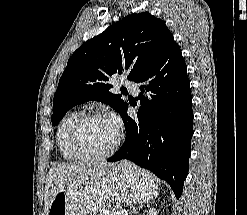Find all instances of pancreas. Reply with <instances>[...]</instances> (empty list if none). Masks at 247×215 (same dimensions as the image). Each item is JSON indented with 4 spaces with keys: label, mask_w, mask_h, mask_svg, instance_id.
<instances>
[{
    "label": "pancreas",
    "mask_w": 247,
    "mask_h": 215,
    "mask_svg": "<svg viewBox=\"0 0 247 215\" xmlns=\"http://www.w3.org/2000/svg\"><path fill=\"white\" fill-rule=\"evenodd\" d=\"M99 215H121L120 211H115L114 209H103L100 211Z\"/></svg>",
    "instance_id": "cf45deb5"
}]
</instances>
